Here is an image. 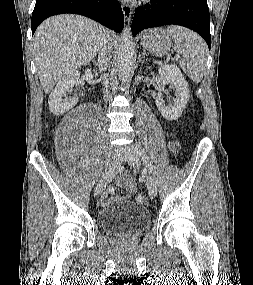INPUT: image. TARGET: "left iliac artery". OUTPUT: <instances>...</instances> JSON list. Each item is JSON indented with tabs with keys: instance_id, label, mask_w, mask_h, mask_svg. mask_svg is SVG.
<instances>
[{
	"instance_id": "44dca946",
	"label": "left iliac artery",
	"mask_w": 253,
	"mask_h": 285,
	"mask_svg": "<svg viewBox=\"0 0 253 285\" xmlns=\"http://www.w3.org/2000/svg\"><path fill=\"white\" fill-rule=\"evenodd\" d=\"M136 148L138 150L139 155L141 156L143 162L145 163L149 172H152V165L149 161V158L146 155V152L140 142H136Z\"/></svg>"
}]
</instances>
